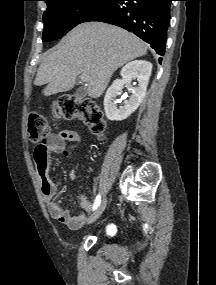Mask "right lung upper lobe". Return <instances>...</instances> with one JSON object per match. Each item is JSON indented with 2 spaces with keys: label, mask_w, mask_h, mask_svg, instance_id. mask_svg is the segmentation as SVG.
Wrapping results in <instances>:
<instances>
[{
  "label": "right lung upper lobe",
  "mask_w": 216,
  "mask_h": 285,
  "mask_svg": "<svg viewBox=\"0 0 216 285\" xmlns=\"http://www.w3.org/2000/svg\"><path fill=\"white\" fill-rule=\"evenodd\" d=\"M46 3L49 2L50 0H44Z\"/></svg>",
  "instance_id": "1"
}]
</instances>
